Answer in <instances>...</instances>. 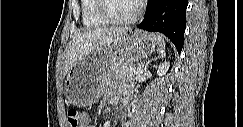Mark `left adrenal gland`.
Segmentation results:
<instances>
[{"label": "left adrenal gland", "mask_w": 243, "mask_h": 127, "mask_svg": "<svg viewBox=\"0 0 243 127\" xmlns=\"http://www.w3.org/2000/svg\"><path fill=\"white\" fill-rule=\"evenodd\" d=\"M153 60H156V58L151 59V60H148V61L146 62L145 66H144V71H146V70H147L148 65H149V64H150V63H151Z\"/></svg>", "instance_id": "a2214340"}]
</instances>
